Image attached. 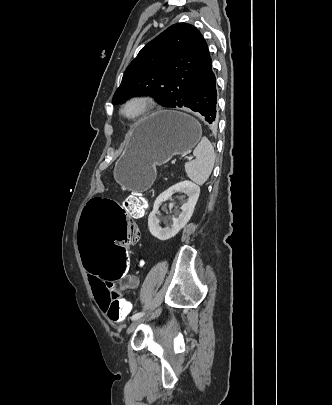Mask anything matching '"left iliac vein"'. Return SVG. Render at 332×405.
<instances>
[{"instance_id": "4c4485c4", "label": "left iliac vein", "mask_w": 332, "mask_h": 405, "mask_svg": "<svg viewBox=\"0 0 332 405\" xmlns=\"http://www.w3.org/2000/svg\"><path fill=\"white\" fill-rule=\"evenodd\" d=\"M160 313H161V308H159V309L151 316L150 319H154V318L158 317ZM144 321H145V319H140V318L137 319V320H134V321L130 324V326L128 327L127 333L130 334L131 332H133L134 329H135L138 325H140L141 323H143Z\"/></svg>"}]
</instances>
